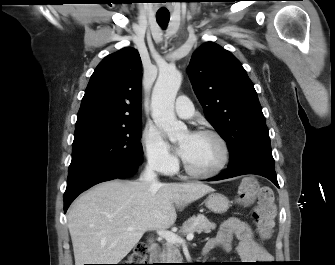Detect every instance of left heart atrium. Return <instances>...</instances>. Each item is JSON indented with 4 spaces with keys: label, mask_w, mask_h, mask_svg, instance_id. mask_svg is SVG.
Segmentation results:
<instances>
[{
    "label": "left heart atrium",
    "mask_w": 335,
    "mask_h": 265,
    "mask_svg": "<svg viewBox=\"0 0 335 265\" xmlns=\"http://www.w3.org/2000/svg\"><path fill=\"white\" fill-rule=\"evenodd\" d=\"M179 153H180V155L184 158L185 153H186V149H185V147L180 146V148H179Z\"/></svg>",
    "instance_id": "left-heart-atrium-1"
}]
</instances>
